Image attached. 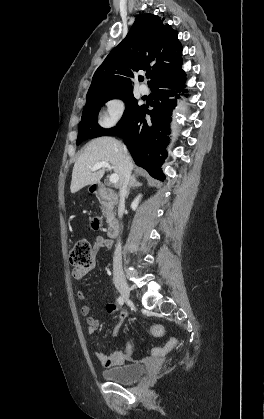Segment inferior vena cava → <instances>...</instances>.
<instances>
[{
  "label": "inferior vena cava",
  "instance_id": "inferior-vena-cava-1",
  "mask_svg": "<svg viewBox=\"0 0 264 419\" xmlns=\"http://www.w3.org/2000/svg\"><path fill=\"white\" fill-rule=\"evenodd\" d=\"M124 150V182L123 185L120 187V202H119V217L121 218V208L124 207L125 197L128 189V185L131 179V171H132V163L127 151V148L123 146ZM113 267L115 270L122 269V256H121V244L120 240H118V244L116 246V250L114 252L113 257Z\"/></svg>",
  "mask_w": 264,
  "mask_h": 419
}]
</instances>
